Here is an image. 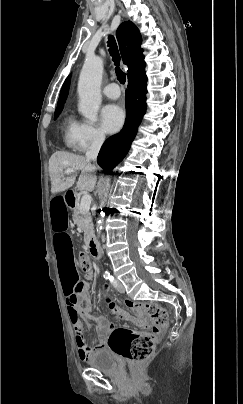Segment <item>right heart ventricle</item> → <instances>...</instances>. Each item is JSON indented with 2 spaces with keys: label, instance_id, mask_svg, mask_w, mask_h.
<instances>
[{
  "label": "right heart ventricle",
  "instance_id": "right-heart-ventricle-1",
  "mask_svg": "<svg viewBox=\"0 0 243 404\" xmlns=\"http://www.w3.org/2000/svg\"><path fill=\"white\" fill-rule=\"evenodd\" d=\"M75 120L73 119V117L71 115H67L64 119V129H63V141L67 144L69 143V139H70V134L72 131V128L74 126Z\"/></svg>",
  "mask_w": 243,
  "mask_h": 404
}]
</instances>
